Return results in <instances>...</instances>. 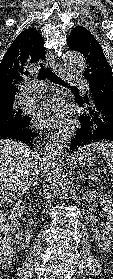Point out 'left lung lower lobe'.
Returning <instances> with one entry per match:
<instances>
[{
	"label": "left lung lower lobe",
	"instance_id": "left-lung-lower-lobe-1",
	"mask_svg": "<svg viewBox=\"0 0 113 279\" xmlns=\"http://www.w3.org/2000/svg\"><path fill=\"white\" fill-rule=\"evenodd\" d=\"M76 102L84 108L79 117L81 130L70 145L71 150L94 142L113 141V99L97 91L88 97L76 95Z\"/></svg>",
	"mask_w": 113,
	"mask_h": 279
}]
</instances>
